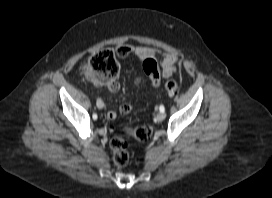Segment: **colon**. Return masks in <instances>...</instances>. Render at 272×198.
Here are the masks:
<instances>
[{
	"mask_svg": "<svg viewBox=\"0 0 272 198\" xmlns=\"http://www.w3.org/2000/svg\"><path fill=\"white\" fill-rule=\"evenodd\" d=\"M117 55L110 49H104L94 54L83 68L85 79L97 85H108L114 81L119 73ZM143 69L148 76L158 73L157 63L153 59L145 60ZM165 89L170 94H174L178 91V85L175 81L171 80L166 82ZM124 132L136 140L145 141L152 134V126L150 124L139 127L126 126ZM110 147L113 164L119 168L124 167L129 161L126 141L119 136L113 137L110 141Z\"/></svg>",
	"mask_w": 272,
	"mask_h": 198,
	"instance_id": "colon-1",
	"label": "colon"
}]
</instances>
